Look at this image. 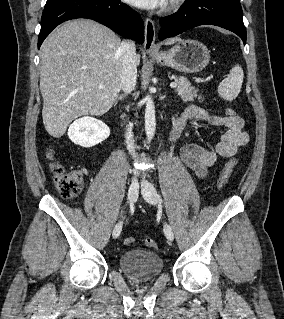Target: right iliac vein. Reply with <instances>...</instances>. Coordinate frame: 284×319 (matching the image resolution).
I'll use <instances>...</instances> for the list:
<instances>
[{"label":"right iliac vein","mask_w":284,"mask_h":319,"mask_svg":"<svg viewBox=\"0 0 284 319\" xmlns=\"http://www.w3.org/2000/svg\"><path fill=\"white\" fill-rule=\"evenodd\" d=\"M138 189H139V185L137 183V181L135 179L132 180L129 189H128V193H127V200L128 203H133L138 196ZM122 220H120L114 227L113 232H112V236L113 238H117L122 230Z\"/></svg>","instance_id":"obj_1"}]
</instances>
